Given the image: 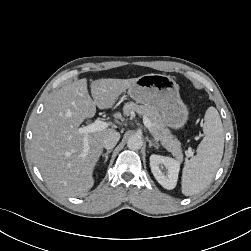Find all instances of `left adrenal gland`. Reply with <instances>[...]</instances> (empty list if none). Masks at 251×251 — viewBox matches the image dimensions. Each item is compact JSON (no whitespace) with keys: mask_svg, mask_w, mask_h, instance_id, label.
I'll list each match as a JSON object with an SVG mask.
<instances>
[{"mask_svg":"<svg viewBox=\"0 0 251 251\" xmlns=\"http://www.w3.org/2000/svg\"><path fill=\"white\" fill-rule=\"evenodd\" d=\"M147 141L149 142V147H155L156 149H158L159 147L155 144V143H153L150 139H147Z\"/></svg>","mask_w":251,"mask_h":251,"instance_id":"1","label":"left adrenal gland"}]
</instances>
